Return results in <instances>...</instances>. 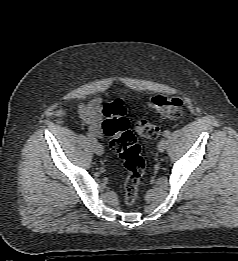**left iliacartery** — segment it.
<instances>
[{
  "label": "left iliac artery",
  "mask_w": 238,
  "mask_h": 261,
  "mask_svg": "<svg viewBox=\"0 0 238 261\" xmlns=\"http://www.w3.org/2000/svg\"><path fill=\"white\" fill-rule=\"evenodd\" d=\"M163 136L166 137V138L169 137L170 131H168V130L164 131Z\"/></svg>",
  "instance_id": "obj_1"
}]
</instances>
